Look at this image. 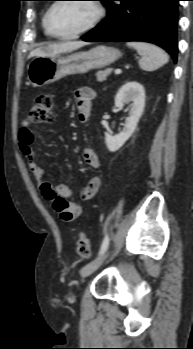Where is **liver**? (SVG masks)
<instances>
[{
	"mask_svg": "<svg viewBox=\"0 0 193 349\" xmlns=\"http://www.w3.org/2000/svg\"><path fill=\"white\" fill-rule=\"evenodd\" d=\"M87 45L83 41H68L61 43H49L39 48L34 49L30 52L29 58L31 57H54L62 53L72 52L83 46Z\"/></svg>",
	"mask_w": 193,
	"mask_h": 349,
	"instance_id": "liver-1",
	"label": "liver"
}]
</instances>
